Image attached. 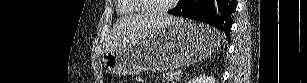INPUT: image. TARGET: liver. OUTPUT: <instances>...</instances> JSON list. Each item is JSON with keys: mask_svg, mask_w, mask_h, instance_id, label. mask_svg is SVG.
Listing matches in <instances>:
<instances>
[{"mask_svg": "<svg viewBox=\"0 0 307 83\" xmlns=\"http://www.w3.org/2000/svg\"><path fill=\"white\" fill-rule=\"evenodd\" d=\"M178 19L169 15L136 14L119 19L114 25L109 50H114L134 43L157 29L171 24Z\"/></svg>", "mask_w": 307, "mask_h": 83, "instance_id": "1", "label": "liver"}]
</instances>
